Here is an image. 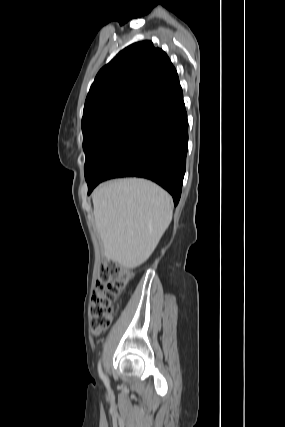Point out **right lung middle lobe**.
I'll return each mask as SVG.
<instances>
[{
    "mask_svg": "<svg viewBox=\"0 0 285 427\" xmlns=\"http://www.w3.org/2000/svg\"><path fill=\"white\" fill-rule=\"evenodd\" d=\"M144 108L127 107L82 126L85 178L89 181Z\"/></svg>",
    "mask_w": 285,
    "mask_h": 427,
    "instance_id": "right-lung-middle-lobe-1",
    "label": "right lung middle lobe"
}]
</instances>
